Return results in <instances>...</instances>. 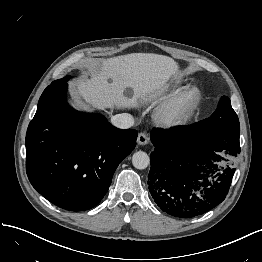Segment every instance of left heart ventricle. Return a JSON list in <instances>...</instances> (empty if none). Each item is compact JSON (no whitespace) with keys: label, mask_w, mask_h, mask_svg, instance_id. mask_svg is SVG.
<instances>
[{"label":"left heart ventricle","mask_w":262,"mask_h":262,"mask_svg":"<svg viewBox=\"0 0 262 262\" xmlns=\"http://www.w3.org/2000/svg\"><path fill=\"white\" fill-rule=\"evenodd\" d=\"M191 98H192V95H189V96L187 97V102H190V101H191Z\"/></svg>","instance_id":"left-heart-ventricle-1"}]
</instances>
